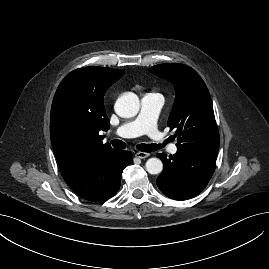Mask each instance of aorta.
<instances>
[{
	"mask_svg": "<svg viewBox=\"0 0 269 269\" xmlns=\"http://www.w3.org/2000/svg\"><path fill=\"white\" fill-rule=\"evenodd\" d=\"M139 108V98L132 92L122 94L115 104V111L122 118L134 117L137 115ZM145 167L148 173L156 175L162 172L163 163L158 158H149Z\"/></svg>",
	"mask_w": 269,
	"mask_h": 269,
	"instance_id": "1",
	"label": "aorta"
}]
</instances>
